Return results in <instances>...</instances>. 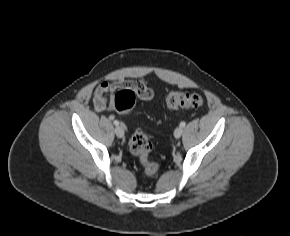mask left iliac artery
I'll use <instances>...</instances> for the list:
<instances>
[{
  "mask_svg": "<svg viewBox=\"0 0 290 236\" xmlns=\"http://www.w3.org/2000/svg\"><path fill=\"white\" fill-rule=\"evenodd\" d=\"M185 125H186L185 122H181V123H180V126H181V127H184Z\"/></svg>",
  "mask_w": 290,
  "mask_h": 236,
  "instance_id": "left-iliac-artery-1",
  "label": "left iliac artery"
}]
</instances>
